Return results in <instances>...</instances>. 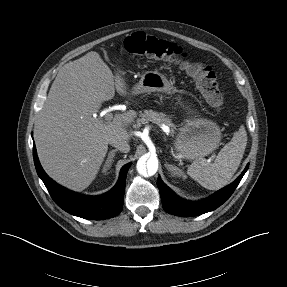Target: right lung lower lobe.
<instances>
[{
  "label": "right lung lower lobe",
  "instance_id": "98d812e1",
  "mask_svg": "<svg viewBox=\"0 0 287 287\" xmlns=\"http://www.w3.org/2000/svg\"><path fill=\"white\" fill-rule=\"evenodd\" d=\"M34 164L55 203L68 213L90 220L108 219L118 215L123 208L125 181L131 163L120 172L116 185L107 193L99 196H86L70 191L54 182L43 170L33 146Z\"/></svg>",
  "mask_w": 287,
  "mask_h": 287
}]
</instances>
